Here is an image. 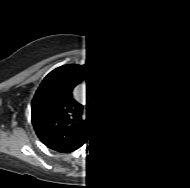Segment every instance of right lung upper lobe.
<instances>
[{
  "mask_svg": "<svg viewBox=\"0 0 190 188\" xmlns=\"http://www.w3.org/2000/svg\"><path fill=\"white\" fill-rule=\"evenodd\" d=\"M92 68L65 65L42 81L32 101V122L40 140L53 150L73 147L87 138L93 120L83 116L82 105L72 98L74 87Z\"/></svg>",
  "mask_w": 190,
  "mask_h": 188,
  "instance_id": "obj_1",
  "label": "right lung upper lobe"
}]
</instances>
